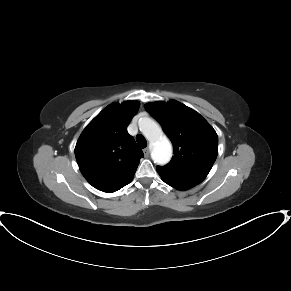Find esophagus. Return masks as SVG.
<instances>
[{
    "instance_id": "esophagus-1",
    "label": "esophagus",
    "mask_w": 291,
    "mask_h": 291,
    "mask_svg": "<svg viewBox=\"0 0 291 291\" xmlns=\"http://www.w3.org/2000/svg\"><path fill=\"white\" fill-rule=\"evenodd\" d=\"M143 153H144L145 157H148L149 156V149L148 148H145L143 150Z\"/></svg>"
}]
</instances>
